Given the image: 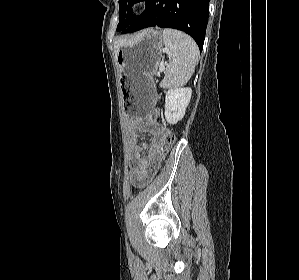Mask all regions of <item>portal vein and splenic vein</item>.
Here are the masks:
<instances>
[{"mask_svg": "<svg viewBox=\"0 0 299 280\" xmlns=\"http://www.w3.org/2000/svg\"><path fill=\"white\" fill-rule=\"evenodd\" d=\"M164 70H165L164 63H161L160 66H159V71L163 72Z\"/></svg>", "mask_w": 299, "mask_h": 280, "instance_id": "obj_1", "label": "portal vein and splenic vein"}]
</instances>
